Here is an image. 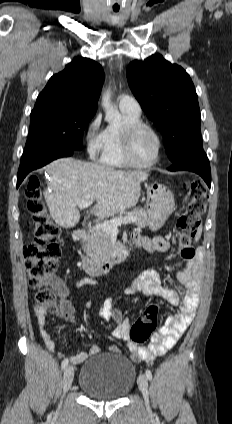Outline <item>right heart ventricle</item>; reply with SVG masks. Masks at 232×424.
<instances>
[{"mask_svg":"<svg viewBox=\"0 0 232 424\" xmlns=\"http://www.w3.org/2000/svg\"><path fill=\"white\" fill-rule=\"evenodd\" d=\"M123 122L120 126L108 125L103 131V149L100 163L110 167L129 166L122 152V129L126 124L140 121V115L121 111Z\"/></svg>","mask_w":232,"mask_h":424,"instance_id":"e07e8e85","label":"right heart ventricle"}]
</instances>
